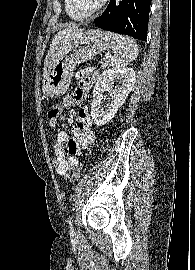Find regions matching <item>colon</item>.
I'll list each match as a JSON object with an SVG mask.
<instances>
[{
	"mask_svg": "<svg viewBox=\"0 0 195 270\" xmlns=\"http://www.w3.org/2000/svg\"><path fill=\"white\" fill-rule=\"evenodd\" d=\"M64 109H65V106L63 105L62 102L53 104L48 110V118L58 119L61 116ZM81 171H82V165L80 164L73 171L71 181H77L81 175Z\"/></svg>",
	"mask_w": 195,
	"mask_h": 270,
	"instance_id": "1",
	"label": "colon"
}]
</instances>
